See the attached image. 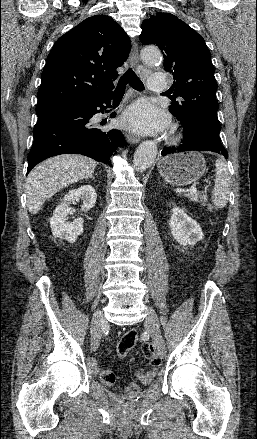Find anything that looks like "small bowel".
I'll list each match as a JSON object with an SVG mask.
<instances>
[{"mask_svg":"<svg viewBox=\"0 0 257 439\" xmlns=\"http://www.w3.org/2000/svg\"><path fill=\"white\" fill-rule=\"evenodd\" d=\"M136 374L139 379L146 383L151 379L153 372L145 373L143 370L139 369Z\"/></svg>","mask_w":257,"mask_h":439,"instance_id":"1","label":"small bowel"}]
</instances>
